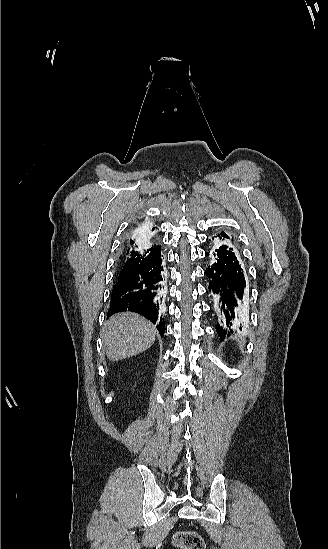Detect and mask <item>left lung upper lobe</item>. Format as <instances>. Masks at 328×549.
Returning a JSON list of instances; mask_svg holds the SVG:
<instances>
[{"label": "left lung upper lobe", "mask_w": 328, "mask_h": 549, "mask_svg": "<svg viewBox=\"0 0 328 549\" xmlns=\"http://www.w3.org/2000/svg\"><path fill=\"white\" fill-rule=\"evenodd\" d=\"M221 236L224 237V238L229 239V236H228L226 233H224V232H221Z\"/></svg>", "instance_id": "5c2ea615"}]
</instances>
